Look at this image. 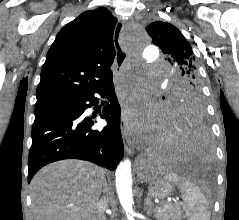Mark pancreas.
Returning <instances> with one entry per match:
<instances>
[{
  "mask_svg": "<svg viewBox=\"0 0 239 220\" xmlns=\"http://www.w3.org/2000/svg\"><path fill=\"white\" fill-rule=\"evenodd\" d=\"M154 217L157 220H181V210L180 207L164 204L155 208Z\"/></svg>",
  "mask_w": 239,
  "mask_h": 220,
  "instance_id": "pancreas-1",
  "label": "pancreas"
}]
</instances>
